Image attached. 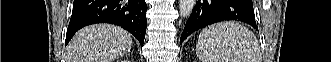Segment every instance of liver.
Masks as SVG:
<instances>
[{"label":"liver","mask_w":331,"mask_h":62,"mask_svg":"<svg viewBox=\"0 0 331 62\" xmlns=\"http://www.w3.org/2000/svg\"><path fill=\"white\" fill-rule=\"evenodd\" d=\"M132 35L111 24L81 29L67 47V62H114L131 50Z\"/></svg>","instance_id":"obj_1"}]
</instances>
